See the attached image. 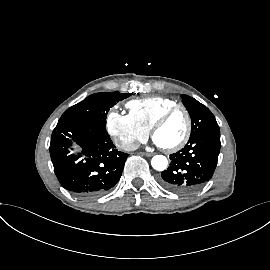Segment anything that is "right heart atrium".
Wrapping results in <instances>:
<instances>
[{
  "instance_id": "obj_1",
  "label": "right heart atrium",
  "mask_w": 270,
  "mask_h": 270,
  "mask_svg": "<svg viewBox=\"0 0 270 270\" xmlns=\"http://www.w3.org/2000/svg\"><path fill=\"white\" fill-rule=\"evenodd\" d=\"M106 129L126 150L134 149L146 140L149 130L138 124L129 113L111 111L106 117Z\"/></svg>"
}]
</instances>
